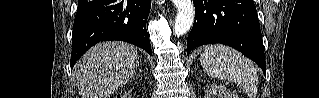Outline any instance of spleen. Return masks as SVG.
Masks as SVG:
<instances>
[{"label":"spleen","instance_id":"3e777b00","mask_svg":"<svg viewBox=\"0 0 319 98\" xmlns=\"http://www.w3.org/2000/svg\"><path fill=\"white\" fill-rule=\"evenodd\" d=\"M200 62L209 76L236 82L250 98L256 97L257 68L238 51L223 45L208 46Z\"/></svg>","mask_w":319,"mask_h":98}]
</instances>
